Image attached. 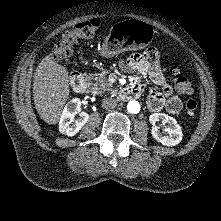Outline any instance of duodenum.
Returning <instances> with one entry per match:
<instances>
[{
    "label": "duodenum",
    "instance_id": "410a0bca",
    "mask_svg": "<svg viewBox=\"0 0 221 221\" xmlns=\"http://www.w3.org/2000/svg\"><path fill=\"white\" fill-rule=\"evenodd\" d=\"M70 85L76 91L83 93L86 91L88 84L84 74L75 72L70 77ZM142 88L139 85H131L125 88L121 95L125 100H130L140 96Z\"/></svg>",
    "mask_w": 221,
    "mask_h": 221
}]
</instances>
